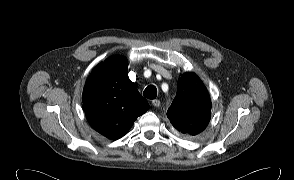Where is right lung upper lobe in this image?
<instances>
[{
    "label": "right lung upper lobe",
    "instance_id": "1",
    "mask_svg": "<svg viewBox=\"0 0 294 180\" xmlns=\"http://www.w3.org/2000/svg\"><path fill=\"white\" fill-rule=\"evenodd\" d=\"M83 108L87 120L100 134L119 139L145 113L148 102L128 77V62L113 56L99 63L83 90Z\"/></svg>",
    "mask_w": 294,
    "mask_h": 180
}]
</instances>
